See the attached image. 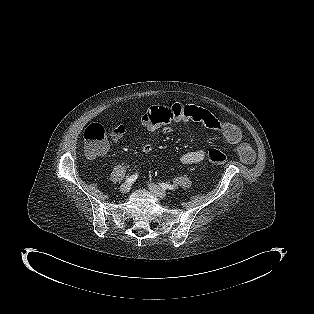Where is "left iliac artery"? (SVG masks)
Instances as JSON below:
<instances>
[{
	"mask_svg": "<svg viewBox=\"0 0 314 314\" xmlns=\"http://www.w3.org/2000/svg\"><path fill=\"white\" fill-rule=\"evenodd\" d=\"M160 186L163 188V189H169V190H175V186L173 185H170V184H165V183H160Z\"/></svg>",
	"mask_w": 314,
	"mask_h": 314,
	"instance_id": "44dca946",
	"label": "left iliac artery"
}]
</instances>
